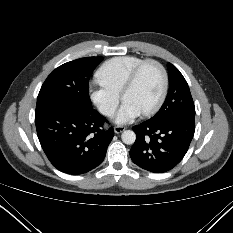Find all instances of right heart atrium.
Wrapping results in <instances>:
<instances>
[{
  "label": "right heart atrium",
  "instance_id": "right-heart-atrium-1",
  "mask_svg": "<svg viewBox=\"0 0 233 233\" xmlns=\"http://www.w3.org/2000/svg\"><path fill=\"white\" fill-rule=\"evenodd\" d=\"M90 99L102 115L111 117L119 105L120 95L97 80L90 86Z\"/></svg>",
  "mask_w": 233,
  "mask_h": 233
}]
</instances>
